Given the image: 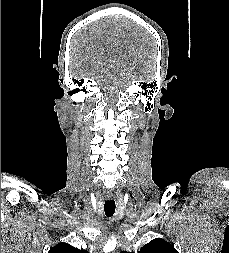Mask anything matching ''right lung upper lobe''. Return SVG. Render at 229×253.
Returning <instances> with one entry per match:
<instances>
[{
    "mask_svg": "<svg viewBox=\"0 0 229 253\" xmlns=\"http://www.w3.org/2000/svg\"><path fill=\"white\" fill-rule=\"evenodd\" d=\"M48 253H88L86 250H79L66 243H60L50 249Z\"/></svg>",
    "mask_w": 229,
    "mask_h": 253,
    "instance_id": "cb5924a9",
    "label": "right lung upper lobe"
}]
</instances>
